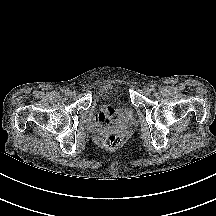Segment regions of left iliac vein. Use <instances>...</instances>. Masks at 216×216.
Returning a JSON list of instances; mask_svg holds the SVG:
<instances>
[{"mask_svg": "<svg viewBox=\"0 0 216 216\" xmlns=\"http://www.w3.org/2000/svg\"><path fill=\"white\" fill-rule=\"evenodd\" d=\"M151 91H152V90H151V87H150V86L144 88V92H145L146 94H150Z\"/></svg>", "mask_w": 216, "mask_h": 216, "instance_id": "4c4485c4", "label": "left iliac vein"}]
</instances>
